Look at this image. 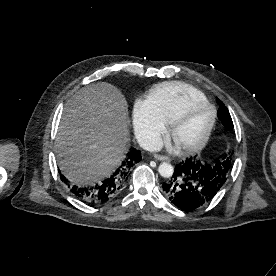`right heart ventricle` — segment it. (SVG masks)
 Masks as SVG:
<instances>
[{"label": "right heart ventricle", "mask_w": 276, "mask_h": 276, "mask_svg": "<svg viewBox=\"0 0 276 276\" xmlns=\"http://www.w3.org/2000/svg\"><path fill=\"white\" fill-rule=\"evenodd\" d=\"M193 99H206V97L191 85L171 81L154 87L146 102L160 120L170 123L172 118Z\"/></svg>", "instance_id": "obj_1"}]
</instances>
